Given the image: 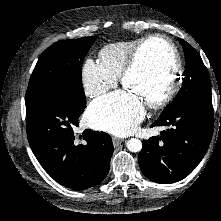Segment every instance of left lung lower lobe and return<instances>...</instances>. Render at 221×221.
<instances>
[{
    "instance_id": "left-lung-lower-lobe-1",
    "label": "left lung lower lobe",
    "mask_w": 221,
    "mask_h": 221,
    "mask_svg": "<svg viewBox=\"0 0 221 221\" xmlns=\"http://www.w3.org/2000/svg\"><path fill=\"white\" fill-rule=\"evenodd\" d=\"M213 125L212 102L197 101L160 115L151 127L164 126L167 130L143 142L138 156L142 173L162 184L184 179L205 155Z\"/></svg>"
}]
</instances>
